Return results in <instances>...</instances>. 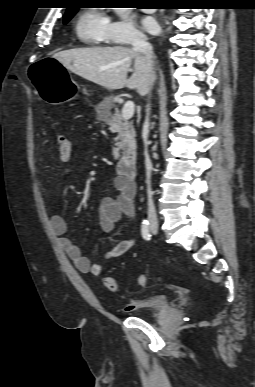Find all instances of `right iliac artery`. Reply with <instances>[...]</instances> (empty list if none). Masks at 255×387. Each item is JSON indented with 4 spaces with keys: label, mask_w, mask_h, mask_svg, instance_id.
<instances>
[{
    "label": "right iliac artery",
    "mask_w": 255,
    "mask_h": 387,
    "mask_svg": "<svg viewBox=\"0 0 255 387\" xmlns=\"http://www.w3.org/2000/svg\"><path fill=\"white\" fill-rule=\"evenodd\" d=\"M141 233L145 240L149 241L151 239L149 222L147 220L142 222Z\"/></svg>",
    "instance_id": "1"
}]
</instances>
